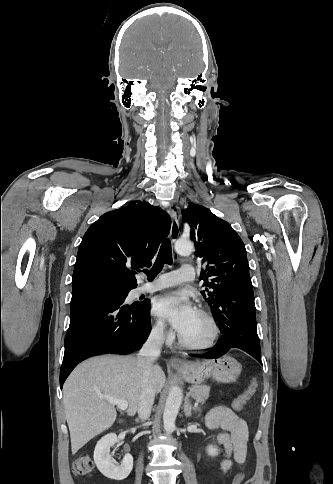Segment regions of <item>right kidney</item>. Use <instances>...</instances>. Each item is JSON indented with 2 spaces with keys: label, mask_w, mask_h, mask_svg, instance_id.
<instances>
[{
  "label": "right kidney",
  "mask_w": 333,
  "mask_h": 484,
  "mask_svg": "<svg viewBox=\"0 0 333 484\" xmlns=\"http://www.w3.org/2000/svg\"><path fill=\"white\" fill-rule=\"evenodd\" d=\"M118 442L115 433H109L102 437L94 450V461L98 470L112 480H123L129 476L133 468V457L127 453L121 464L116 465L110 455V448Z\"/></svg>",
  "instance_id": "1"
}]
</instances>
